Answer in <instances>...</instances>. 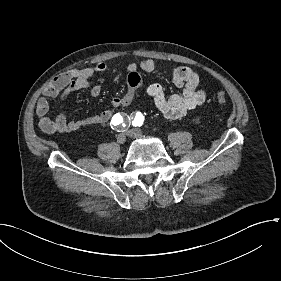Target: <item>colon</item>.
<instances>
[{
    "mask_svg": "<svg viewBox=\"0 0 281 281\" xmlns=\"http://www.w3.org/2000/svg\"><path fill=\"white\" fill-rule=\"evenodd\" d=\"M227 100H228L227 96L223 93H219L215 96V101L218 104H224L227 102Z\"/></svg>",
    "mask_w": 281,
    "mask_h": 281,
    "instance_id": "1",
    "label": "colon"
}]
</instances>
